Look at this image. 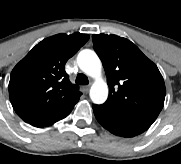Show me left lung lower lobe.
Returning a JSON list of instances; mask_svg holds the SVG:
<instances>
[{
    "mask_svg": "<svg viewBox=\"0 0 181 164\" xmlns=\"http://www.w3.org/2000/svg\"><path fill=\"white\" fill-rule=\"evenodd\" d=\"M97 121L111 133L122 137H134L146 131L152 121L110 103L92 105Z\"/></svg>",
    "mask_w": 181,
    "mask_h": 164,
    "instance_id": "left-lung-lower-lobe-1",
    "label": "left lung lower lobe"
}]
</instances>
